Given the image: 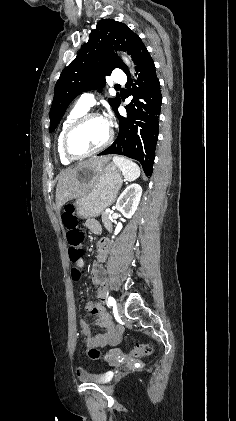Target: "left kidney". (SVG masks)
<instances>
[{"label":"left kidney","mask_w":236,"mask_h":421,"mask_svg":"<svg viewBox=\"0 0 236 421\" xmlns=\"http://www.w3.org/2000/svg\"><path fill=\"white\" fill-rule=\"evenodd\" d=\"M141 194L142 188L140 184H129V186H126L116 202L117 211H120L126 219H131L135 211H137Z\"/></svg>","instance_id":"left-kidney-1"}]
</instances>
